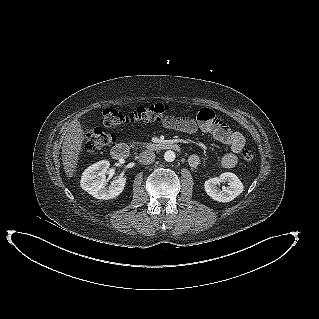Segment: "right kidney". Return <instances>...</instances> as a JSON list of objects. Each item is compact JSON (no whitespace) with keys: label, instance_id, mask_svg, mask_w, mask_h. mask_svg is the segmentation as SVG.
<instances>
[{"label":"right kidney","instance_id":"ca27d5eb","mask_svg":"<svg viewBox=\"0 0 319 319\" xmlns=\"http://www.w3.org/2000/svg\"><path fill=\"white\" fill-rule=\"evenodd\" d=\"M109 166L110 163L107 160L89 166L81 176L80 185L82 189L96 199L109 200L119 196L124 190L126 178L120 176L107 186L105 174Z\"/></svg>","mask_w":319,"mask_h":319}]
</instances>
